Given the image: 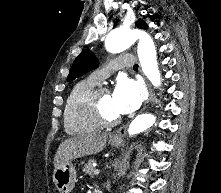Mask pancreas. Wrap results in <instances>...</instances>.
<instances>
[{
	"label": "pancreas",
	"instance_id": "1",
	"mask_svg": "<svg viewBox=\"0 0 221 193\" xmlns=\"http://www.w3.org/2000/svg\"><path fill=\"white\" fill-rule=\"evenodd\" d=\"M94 162H95L94 159H90L83 167V172H85V174H88L91 177H93V171L95 169L92 165Z\"/></svg>",
	"mask_w": 221,
	"mask_h": 193
}]
</instances>
